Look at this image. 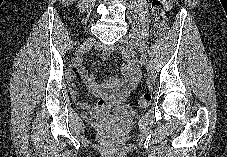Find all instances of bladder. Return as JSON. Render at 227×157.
Instances as JSON below:
<instances>
[{
  "mask_svg": "<svg viewBox=\"0 0 227 157\" xmlns=\"http://www.w3.org/2000/svg\"><path fill=\"white\" fill-rule=\"evenodd\" d=\"M136 114H137L136 109L128 104H115L106 106L104 108L102 107V109L97 112V115L99 116L118 119L132 117L135 116Z\"/></svg>",
  "mask_w": 227,
  "mask_h": 157,
  "instance_id": "31cf9c89",
  "label": "bladder"
}]
</instances>
